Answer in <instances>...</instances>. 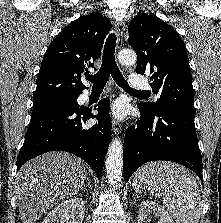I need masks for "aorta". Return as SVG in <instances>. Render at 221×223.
<instances>
[{"label": "aorta", "instance_id": "aorta-1", "mask_svg": "<svg viewBox=\"0 0 221 223\" xmlns=\"http://www.w3.org/2000/svg\"><path fill=\"white\" fill-rule=\"evenodd\" d=\"M118 60L123 65H133L136 63L137 56L132 50H121L118 54ZM105 166L108 183L117 189L123 168V146L119 138L113 139L109 145Z\"/></svg>", "mask_w": 221, "mask_h": 223}]
</instances>
